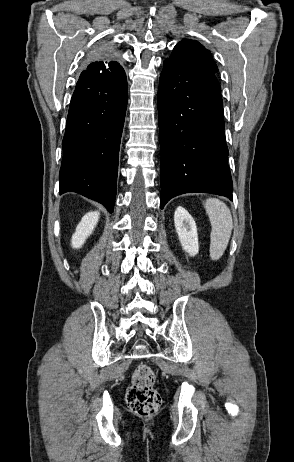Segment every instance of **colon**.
<instances>
[{"instance_id": "5ec220e1", "label": "colon", "mask_w": 294, "mask_h": 462, "mask_svg": "<svg viewBox=\"0 0 294 462\" xmlns=\"http://www.w3.org/2000/svg\"><path fill=\"white\" fill-rule=\"evenodd\" d=\"M155 373L146 364H140L132 375V385L127 391L129 408L140 416H150L158 411L162 399L154 389Z\"/></svg>"}]
</instances>
